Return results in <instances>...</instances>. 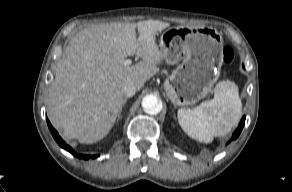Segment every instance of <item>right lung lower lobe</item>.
<instances>
[{
	"mask_svg": "<svg viewBox=\"0 0 292 192\" xmlns=\"http://www.w3.org/2000/svg\"><path fill=\"white\" fill-rule=\"evenodd\" d=\"M47 124H48V127L54 137V139L56 140V142L65 150H67L68 152H70L72 155H74L75 157L79 158V159H88L89 156L88 155H82V154H77L76 152H74L72 150V148L67 145L62 139L61 137L59 136V134L57 133V131L52 127V125L50 124L49 120L47 119ZM97 155H92L90 156V158L94 159L96 158Z\"/></svg>",
	"mask_w": 292,
	"mask_h": 192,
	"instance_id": "98d812e1",
	"label": "right lung lower lobe"
}]
</instances>
